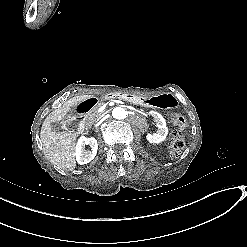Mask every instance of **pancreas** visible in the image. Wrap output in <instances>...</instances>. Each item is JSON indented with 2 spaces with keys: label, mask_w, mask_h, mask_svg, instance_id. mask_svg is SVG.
<instances>
[{
  "label": "pancreas",
  "mask_w": 247,
  "mask_h": 247,
  "mask_svg": "<svg viewBox=\"0 0 247 247\" xmlns=\"http://www.w3.org/2000/svg\"><path fill=\"white\" fill-rule=\"evenodd\" d=\"M100 107V104L93 107L86 115L87 120L89 121H93L95 120L97 117L101 116L103 113H98V108Z\"/></svg>",
  "instance_id": "obj_1"
}]
</instances>
